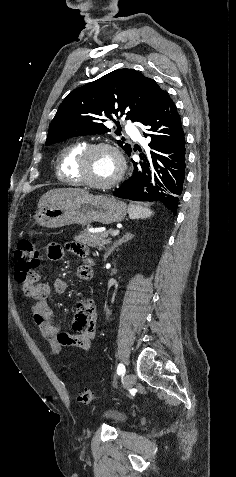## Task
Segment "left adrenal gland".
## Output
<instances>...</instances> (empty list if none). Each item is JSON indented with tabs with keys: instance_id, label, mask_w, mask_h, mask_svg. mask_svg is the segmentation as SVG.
Returning <instances> with one entry per match:
<instances>
[{
	"instance_id": "1",
	"label": "left adrenal gland",
	"mask_w": 236,
	"mask_h": 477,
	"mask_svg": "<svg viewBox=\"0 0 236 477\" xmlns=\"http://www.w3.org/2000/svg\"><path fill=\"white\" fill-rule=\"evenodd\" d=\"M134 237L133 234L127 232L121 239H119L118 241H116L113 246L108 250V252L105 254L104 256V259L106 260L107 257L116 249L118 248L119 246H121L123 243H126L128 242L129 240H131L132 238Z\"/></svg>"
}]
</instances>
